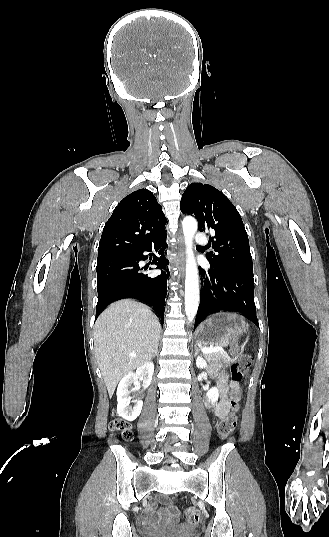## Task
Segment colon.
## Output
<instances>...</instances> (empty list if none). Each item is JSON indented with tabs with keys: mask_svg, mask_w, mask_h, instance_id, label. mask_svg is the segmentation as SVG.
Masks as SVG:
<instances>
[{
	"mask_svg": "<svg viewBox=\"0 0 329 537\" xmlns=\"http://www.w3.org/2000/svg\"><path fill=\"white\" fill-rule=\"evenodd\" d=\"M233 355L237 356L236 362L231 369L232 378L235 381H240L249 371L252 358L247 354H240L237 347L232 349ZM231 413L226 419L218 425V432L223 438H227L234 431L237 424V412L240 406V389H232L231 391ZM110 428L114 432H118L125 441L132 439L131 424L126 420L116 417L110 424ZM188 523L195 525L200 521V513L193 508L186 511Z\"/></svg>",
	"mask_w": 329,
	"mask_h": 537,
	"instance_id": "5ec220e1",
	"label": "colon"
}]
</instances>
